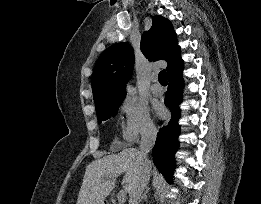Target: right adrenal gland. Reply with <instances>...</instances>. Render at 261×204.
Instances as JSON below:
<instances>
[{
  "instance_id": "2a0ac1e0",
  "label": "right adrenal gland",
  "mask_w": 261,
  "mask_h": 204,
  "mask_svg": "<svg viewBox=\"0 0 261 204\" xmlns=\"http://www.w3.org/2000/svg\"><path fill=\"white\" fill-rule=\"evenodd\" d=\"M149 188H147L144 193L142 194V196L139 199V202H141L142 200H147V194H148Z\"/></svg>"
}]
</instances>
